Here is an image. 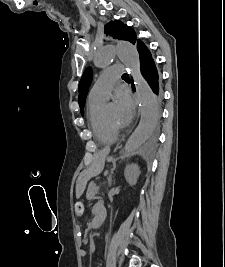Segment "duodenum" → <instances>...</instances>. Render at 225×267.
I'll return each mask as SVG.
<instances>
[{
	"label": "duodenum",
	"mask_w": 225,
	"mask_h": 267,
	"mask_svg": "<svg viewBox=\"0 0 225 267\" xmlns=\"http://www.w3.org/2000/svg\"><path fill=\"white\" fill-rule=\"evenodd\" d=\"M104 219H105V209H103V211L98 210L96 217L92 221V227L94 229L99 228L103 224Z\"/></svg>",
	"instance_id": "duodenum-1"
}]
</instances>
